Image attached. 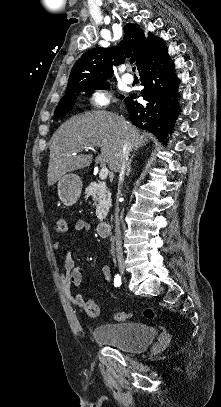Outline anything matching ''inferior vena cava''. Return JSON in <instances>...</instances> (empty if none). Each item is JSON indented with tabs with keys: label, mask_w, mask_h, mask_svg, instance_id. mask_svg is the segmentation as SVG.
I'll return each instance as SVG.
<instances>
[{
	"label": "inferior vena cava",
	"mask_w": 221,
	"mask_h": 407,
	"mask_svg": "<svg viewBox=\"0 0 221 407\" xmlns=\"http://www.w3.org/2000/svg\"><path fill=\"white\" fill-rule=\"evenodd\" d=\"M131 151V145L126 138L123 142V148L120 156V160L118 163V171L119 172V182L122 184L125 176V170L128 164L129 155ZM118 194H120V189L118 190ZM121 229H120V219H119V207L118 204L115 210V241H116V257L118 262H123V250H122V240H121Z\"/></svg>",
	"instance_id": "1"
}]
</instances>
